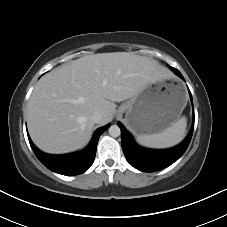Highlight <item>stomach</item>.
I'll list each match as a JSON object with an SVG mask.
<instances>
[{"instance_id":"0dacf381","label":"stomach","mask_w":227,"mask_h":227,"mask_svg":"<svg viewBox=\"0 0 227 227\" xmlns=\"http://www.w3.org/2000/svg\"><path fill=\"white\" fill-rule=\"evenodd\" d=\"M186 101L180 84L156 81L122 104L118 112L125 113L124 122L136 135L157 134L179 119Z\"/></svg>"}]
</instances>
